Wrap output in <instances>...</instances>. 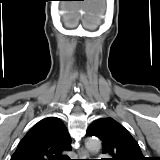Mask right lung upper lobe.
I'll return each mask as SVG.
<instances>
[{
	"instance_id": "right-lung-upper-lobe-1",
	"label": "right lung upper lobe",
	"mask_w": 160,
	"mask_h": 160,
	"mask_svg": "<svg viewBox=\"0 0 160 160\" xmlns=\"http://www.w3.org/2000/svg\"><path fill=\"white\" fill-rule=\"evenodd\" d=\"M71 138L64 123L48 117L34 125L18 144L11 160H70Z\"/></svg>"
}]
</instances>
